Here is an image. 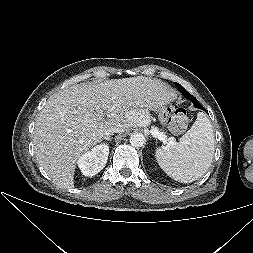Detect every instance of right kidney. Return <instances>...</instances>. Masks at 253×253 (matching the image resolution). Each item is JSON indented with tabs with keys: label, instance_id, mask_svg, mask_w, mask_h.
I'll list each match as a JSON object with an SVG mask.
<instances>
[{
	"label": "right kidney",
	"instance_id": "obj_1",
	"mask_svg": "<svg viewBox=\"0 0 253 253\" xmlns=\"http://www.w3.org/2000/svg\"><path fill=\"white\" fill-rule=\"evenodd\" d=\"M109 155V146L100 144L84 153L77 164L85 176H94L99 173L106 165Z\"/></svg>",
	"mask_w": 253,
	"mask_h": 253
}]
</instances>
